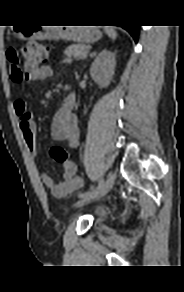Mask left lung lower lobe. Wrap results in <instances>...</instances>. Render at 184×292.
I'll return each instance as SVG.
<instances>
[{
	"label": "left lung lower lobe",
	"instance_id": "obj_1",
	"mask_svg": "<svg viewBox=\"0 0 184 292\" xmlns=\"http://www.w3.org/2000/svg\"><path fill=\"white\" fill-rule=\"evenodd\" d=\"M124 29H126L131 36L134 38L135 42L138 41V33H139V27L137 25L134 26H122Z\"/></svg>",
	"mask_w": 184,
	"mask_h": 292
}]
</instances>
